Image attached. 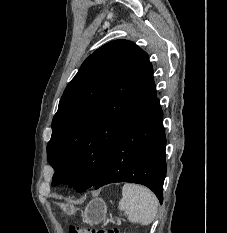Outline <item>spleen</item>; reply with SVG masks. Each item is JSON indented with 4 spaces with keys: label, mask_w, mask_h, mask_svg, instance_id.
I'll return each mask as SVG.
<instances>
[{
    "label": "spleen",
    "mask_w": 227,
    "mask_h": 233,
    "mask_svg": "<svg viewBox=\"0 0 227 233\" xmlns=\"http://www.w3.org/2000/svg\"><path fill=\"white\" fill-rule=\"evenodd\" d=\"M119 210L128 214V220L143 226L151 224L158 212V200L147 188L124 184Z\"/></svg>",
    "instance_id": "3e777b00"
}]
</instances>
